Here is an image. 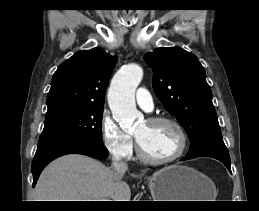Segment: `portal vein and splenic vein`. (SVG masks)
Wrapping results in <instances>:
<instances>
[{
  "mask_svg": "<svg viewBox=\"0 0 259 211\" xmlns=\"http://www.w3.org/2000/svg\"><path fill=\"white\" fill-rule=\"evenodd\" d=\"M99 201H110L109 199H101Z\"/></svg>",
  "mask_w": 259,
  "mask_h": 211,
  "instance_id": "1",
  "label": "portal vein and splenic vein"
}]
</instances>
